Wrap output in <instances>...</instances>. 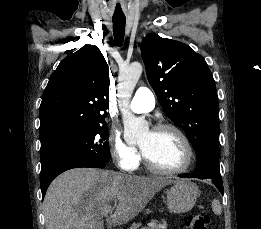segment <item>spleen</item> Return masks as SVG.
Listing matches in <instances>:
<instances>
[{
  "instance_id": "1",
  "label": "spleen",
  "mask_w": 261,
  "mask_h": 229,
  "mask_svg": "<svg viewBox=\"0 0 261 229\" xmlns=\"http://www.w3.org/2000/svg\"><path fill=\"white\" fill-rule=\"evenodd\" d=\"M212 211L215 213V215H221L222 213V207L220 205V201H217V199H214L212 203Z\"/></svg>"
}]
</instances>
